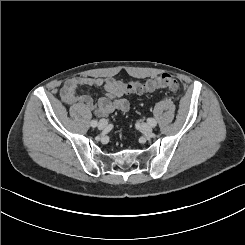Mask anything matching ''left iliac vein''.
<instances>
[{"mask_svg":"<svg viewBox=\"0 0 245 245\" xmlns=\"http://www.w3.org/2000/svg\"><path fill=\"white\" fill-rule=\"evenodd\" d=\"M142 133L150 134L152 132V126L149 124H142L140 127Z\"/></svg>","mask_w":245,"mask_h":245,"instance_id":"obj_1","label":"left iliac vein"}]
</instances>
